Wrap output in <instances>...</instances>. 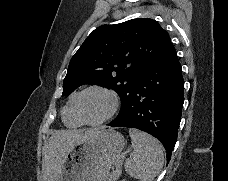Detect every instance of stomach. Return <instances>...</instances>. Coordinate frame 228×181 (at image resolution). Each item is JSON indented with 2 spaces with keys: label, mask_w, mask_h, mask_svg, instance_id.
Segmentation results:
<instances>
[{
  "label": "stomach",
  "mask_w": 228,
  "mask_h": 181,
  "mask_svg": "<svg viewBox=\"0 0 228 181\" xmlns=\"http://www.w3.org/2000/svg\"><path fill=\"white\" fill-rule=\"evenodd\" d=\"M124 145L121 133L112 129L96 131L71 149L57 181H107Z\"/></svg>",
  "instance_id": "1"
}]
</instances>
